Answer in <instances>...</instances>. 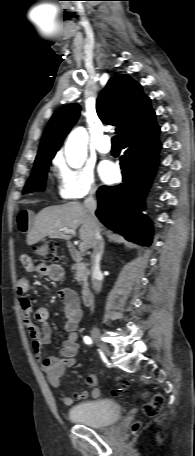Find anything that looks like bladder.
I'll list each match as a JSON object with an SVG mask.
<instances>
[{"label": "bladder", "mask_w": 195, "mask_h": 456, "mask_svg": "<svg viewBox=\"0 0 195 456\" xmlns=\"http://www.w3.org/2000/svg\"><path fill=\"white\" fill-rule=\"evenodd\" d=\"M122 416L121 405L110 399H97L72 406L68 411L71 421L92 428L115 424Z\"/></svg>", "instance_id": "bladder-1"}]
</instances>
